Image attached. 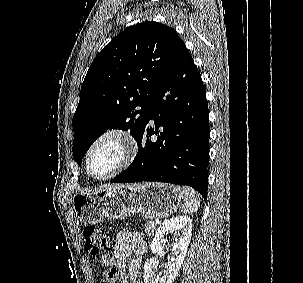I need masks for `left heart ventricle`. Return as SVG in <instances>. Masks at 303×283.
Here are the masks:
<instances>
[{
	"mask_svg": "<svg viewBox=\"0 0 303 283\" xmlns=\"http://www.w3.org/2000/svg\"><path fill=\"white\" fill-rule=\"evenodd\" d=\"M122 146L115 139H106L93 151L89 169L94 176H104L110 173L122 158Z\"/></svg>",
	"mask_w": 303,
	"mask_h": 283,
	"instance_id": "obj_1",
	"label": "left heart ventricle"
}]
</instances>
